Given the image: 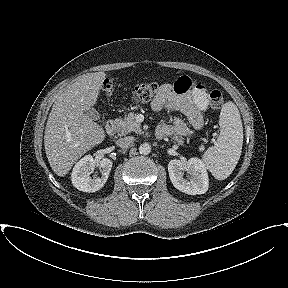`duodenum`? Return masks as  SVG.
<instances>
[{
	"instance_id": "410a0bca",
	"label": "duodenum",
	"mask_w": 288,
	"mask_h": 288,
	"mask_svg": "<svg viewBox=\"0 0 288 288\" xmlns=\"http://www.w3.org/2000/svg\"><path fill=\"white\" fill-rule=\"evenodd\" d=\"M117 122L113 119L109 120L106 123V132L110 137H113L116 134L117 131ZM157 138H162L163 134L159 131L156 132Z\"/></svg>"
}]
</instances>
